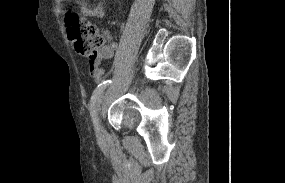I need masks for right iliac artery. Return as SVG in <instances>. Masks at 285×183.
I'll use <instances>...</instances> for the list:
<instances>
[{
    "label": "right iliac artery",
    "instance_id": "obj_1",
    "mask_svg": "<svg viewBox=\"0 0 285 183\" xmlns=\"http://www.w3.org/2000/svg\"><path fill=\"white\" fill-rule=\"evenodd\" d=\"M111 83V80H107V81H103L102 83H100L96 89L93 92V95L91 97V108H90V114L92 116V120L96 126V110H95V105H96V101L99 98L100 94L102 93V91L106 88V86Z\"/></svg>",
    "mask_w": 285,
    "mask_h": 183
}]
</instances>
